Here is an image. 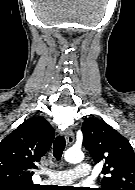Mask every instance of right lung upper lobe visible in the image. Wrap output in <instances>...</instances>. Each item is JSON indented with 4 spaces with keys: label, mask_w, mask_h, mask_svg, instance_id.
Wrapping results in <instances>:
<instances>
[{
    "label": "right lung upper lobe",
    "mask_w": 135,
    "mask_h": 190,
    "mask_svg": "<svg viewBox=\"0 0 135 190\" xmlns=\"http://www.w3.org/2000/svg\"><path fill=\"white\" fill-rule=\"evenodd\" d=\"M54 130L42 117L24 121L0 142V185L34 186L33 169L49 150Z\"/></svg>",
    "instance_id": "cb5924a9"
}]
</instances>
